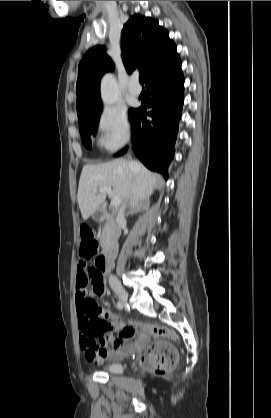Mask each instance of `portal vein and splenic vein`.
<instances>
[{
  "label": "portal vein and splenic vein",
  "mask_w": 271,
  "mask_h": 418,
  "mask_svg": "<svg viewBox=\"0 0 271 418\" xmlns=\"http://www.w3.org/2000/svg\"><path fill=\"white\" fill-rule=\"evenodd\" d=\"M96 192H97V190H96ZM99 192L100 193H106V194L109 195V197L112 198L111 203H110L111 206L118 207L121 204L120 197L116 196L113 193L111 187H101V188H99Z\"/></svg>",
  "instance_id": "portal-vein-and-splenic-vein-1"
}]
</instances>
